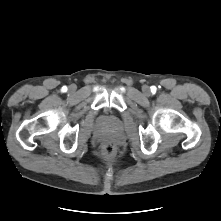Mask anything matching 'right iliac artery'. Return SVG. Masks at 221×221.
<instances>
[{"instance_id": "1", "label": "right iliac artery", "mask_w": 221, "mask_h": 221, "mask_svg": "<svg viewBox=\"0 0 221 221\" xmlns=\"http://www.w3.org/2000/svg\"><path fill=\"white\" fill-rule=\"evenodd\" d=\"M62 91H63V92H66V91H67V87H66V86H63V87H62Z\"/></svg>"}]
</instances>
